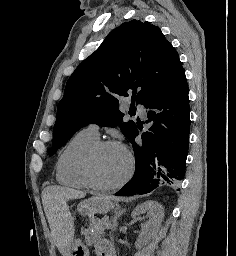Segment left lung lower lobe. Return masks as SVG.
I'll return each mask as SVG.
<instances>
[{"mask_svg": "<svg viewBox=\"0 0 236 256\" xmlns=\"http://www.w3.org/2000/svg\"><path fill=\"white\" fill-rule=\"evenodd\" d=\"M188 92L181 68L144 103L150 109L147 122L153 124L142 134L139 145L135 142L136 126L130 138L135 153V173L115 195L146 194L184 178L190 128Z\"/></svg>", "mask_w": 236, "mask_h": 256, "instance_id": "0a47b994", "label": "left lung lower lobe"}]
</instances>
